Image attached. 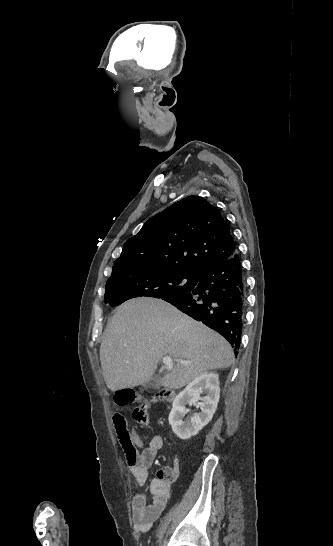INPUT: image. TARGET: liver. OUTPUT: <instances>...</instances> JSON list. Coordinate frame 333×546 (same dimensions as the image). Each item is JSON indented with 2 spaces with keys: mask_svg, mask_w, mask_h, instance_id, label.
<instances>
[{
  "mask_svg": "<svg viewBox=\"0 0 333 546\" xmlns=\"http://www.w3.org/2000/svg\"><path fill=\"white\" fill-rule=\"evenodd\" d=\"M167 355L173 358L172 369L162 379L168 388L183 387L234 361L232 347L222 336L160 299H131L117 307L100 346L103 376L111 391L147 383Z\"/></svg>",
  "mask_w": 333,
  "mask_h": 546,
  "instance_id": "obj_1",
  "label": "liver"
}]
</instances>
